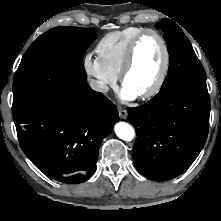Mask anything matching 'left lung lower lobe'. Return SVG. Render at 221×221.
I'll return each mask as SVG.
<instances>
[{
	"label": "left lung lower lobe",
	"instance_id": "obj_1",
	"mask_svg": "<svg viewBox=\"0 0 221 221\" xmlns=\"http://www.w3.org/2000/svg\"><path fill=\"white\" fill-rule=\"evenodd\" d=\"M128 113L137 135L133 147L137 171L149 180L165 181L182 174L202 150L210 97L207 87L174 83Z\"/></svg>",
	"mask_w": 221,
	"mask_h": 221
}]
</instances>
